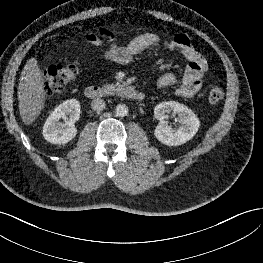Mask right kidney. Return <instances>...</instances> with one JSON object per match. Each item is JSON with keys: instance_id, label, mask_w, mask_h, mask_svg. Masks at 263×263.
<instances>
[{"instance_id": "right-kidney-1", "label": "right kidney", "mask_w": 263, "mask_h": 263, "mask_svg": "<svg viewBox=\"0 0 263 263\" xmlns=\"http://www.w3.org/2000/svg\"><path fill=\"white\" fill-rule=\"evenodd\" d=\"M81 106L78 100H66L47 118L43 126L44 138L52 144H66L77 134L75 122L79 120ZM63 119L64 122H60Z\"/></svg>"}]
</instances>
